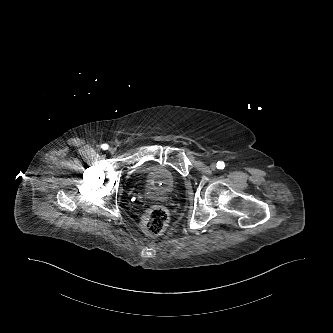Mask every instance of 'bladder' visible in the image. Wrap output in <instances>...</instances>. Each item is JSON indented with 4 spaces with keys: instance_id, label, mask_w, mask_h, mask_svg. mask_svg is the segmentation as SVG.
I'll list each match as a JSON object with an SVG mask.
<instances>
[{
    "instance_id": "1",
    "label": "bladder",
    "mask_w": 333,
    "mask_h": 333,
    "mask_svg": "<svg viewBox=\"0 0 333 333\" xmlns=\"http://www.w3.org/2000/svg\"><path fill=\"white\" fill-rule=\"evenodd\" d=\"M139 174L144 177L147 189L158 195L173 193L179 183L175 173L162 164H151L143 167Z\"/></svg>"
}]
</instances>
